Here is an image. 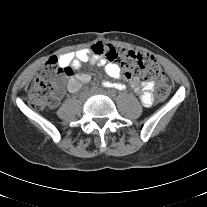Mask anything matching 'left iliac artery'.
Wrapping results in <instances>:
<instances>
[{
    "label": "left iliac artery",
    "mask_w": 207,
    "mask_h": 207,
    "mask_svg": "<svg viewBox=\"0 0 207 207\" xmlns=\"http://www.w3.org/2000/svg\"><path fill=\"white\" fill-rule=\"evenodd\" d=\"M111 86L115 87L118 90H124V89H126V86L124 84H113Z\"/></svg>",
    "instance_id": "left-iliac-artery-1"
}]
</instances>
